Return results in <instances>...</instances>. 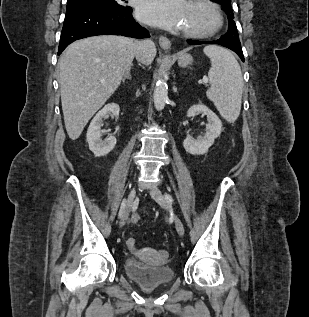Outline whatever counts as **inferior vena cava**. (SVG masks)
<instances>
[{
  "label": "inferior vena cava",
  "mask_w": 309,
  "mask_h": 317,
  "mask_svg": "<svg viewBox=\"0 0 309 317\" xmlns=\"http://www.w3.org/2000/svg\"><path fill=\"white\" fill-rule=\"evenodd\" d=\"M141 49H142V43L139 41H136L134 44V50H135V55H136L137 60L139 58V54H140Z\"/></svg>",
  "instance_id": "602c4592"
}]
</instances>
